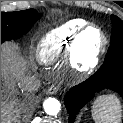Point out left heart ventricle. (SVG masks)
<instances>
[{
  "label": "left heart ventricle",
  "mask_w": 123,
  "mask_h": 123,
  "mask_svg": "<svg viewBox=\"0 0 123 123\" xmlns=\"http://www.w3.org/2000/svg\"><path fill=\"white\" fill-rule=\"evenodd\" d=\"M102 42V37L96 29H90L87 31L84 38L79 42V50H81L84 55L90 58Z\"/></svg>",
  "instance_id": "b2bd125f"
}]
</instances>
